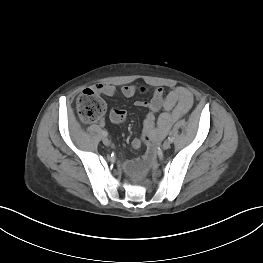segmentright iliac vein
Here are the masks:
<instances>
[{
    "label": "right iliac vein",
    "instance_id": "1",
    "mask_svg": "<svg viewBox=\"0 0 263 263\" xmlns=\"http://www.w3.org/2000/svg\"><path fill=\"white\" fill-rule=\"evenodd\" d=\"M102 141H103V144L106 145V146H108V145L110 144L109 139L106 138V137H104V138L102 139Z\"/></svg>",
    "mask_w": 263,
    "mask_h": 263
}]
</instances>
